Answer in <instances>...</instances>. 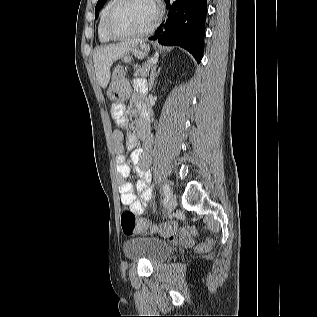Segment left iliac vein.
I'll return each instance as SVG.
<instances>
[{
  "label": "left iliac vein",
  "instance_id": "1",
  "mask_svg": "<svg viewBox=\"0 0 317 317\" xmlns=\"http://www.w3.org/2000/svg\"><path fill=\"white\" fill-rule=\"evenodd\" d=\"M176 204H177V196L173 192H171L166 204V213L172 212L174 208L176 207Z\"/></svg>",
  "mask_w": 317,
  "mask_h": 317
}]
</instances>
